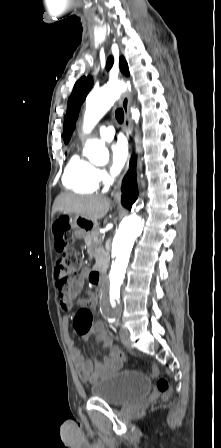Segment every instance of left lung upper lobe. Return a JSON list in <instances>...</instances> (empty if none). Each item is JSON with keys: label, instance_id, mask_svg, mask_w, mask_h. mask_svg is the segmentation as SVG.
Wrapping results in <instances>:
<instances>
[{"label": "left lung upper lobe", "instance_id": "1", "mask_svg": "<svg viewBox=\"0 0 221 448\" xmlns=\"http://www.w3.org/2000/svg\"><path fill=\"white\" fill-rule=\"evenodd\" d=\"M113 65V58L109 57L106 68L109 70ZM120 70L126 76L129 75L128 65L123 57H120ZM93 84L92 77H82L74 86L73 92L68 100V109L64 120L63 138L67 143L75 128L81 104L85 100Z\"/></svg>", "mask_w": 221, "mask_h": 448}]
</instances>
